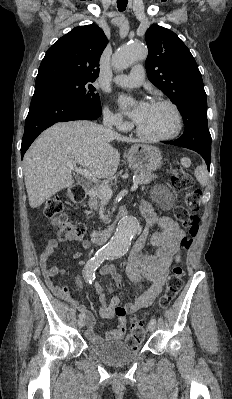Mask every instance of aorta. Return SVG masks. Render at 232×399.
Segmentation results:
<instances>
[{
  "instance_id": "1",
  "label": "aorta",
  "mask_w": 232,
  "mask_h": 399,
  "mask_svg": "<svg viewBox=\"0 0 232 399\" xmlns=\"http://www.w3.org/2000/svg\"><path fill=\"white\" fill-rule=\"evenodd\" d=\"M147 48L144 44L134 42L120 47L114 54L112 65L115 70L122 71L135 62L143 60L147 56ZM138 220L132 216L123 217L118 223V228L101 250V254L108 257H120L127 253L133 236L138 231Z\"/></svg>"
}]
</instances>
